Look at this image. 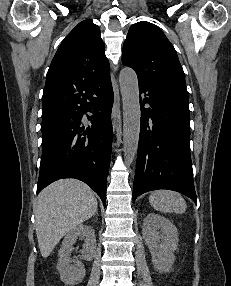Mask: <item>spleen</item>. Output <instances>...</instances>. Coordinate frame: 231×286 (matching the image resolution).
Masks as SVG:
<instances>
[{"instance_id":"1","label":"spleen","mask_w":231,"mask_h":286,"mask_svg":"<svg viewBox=\"0 0 231 286\" xmlns=\"http://www.w3.org/2000/svg\"><path fill=\"white\" fill-rule=\"evenodd\" d=\"M150 205L157 211L164 213L175 212L182 214L187 204L180 193L171 190H156L149 195Z\"/></svg>"}]
</instances>
